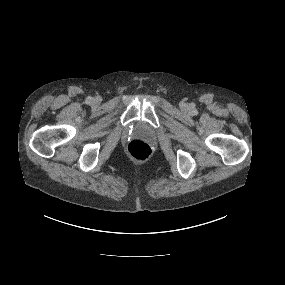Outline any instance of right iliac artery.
I'll list each match as a JSON object with an SVG mask.
<instances>
[{
	"label": "right iliac artery",
	"mask_w": 285,
	"mask_h": 285,
	"mask_svg": "<svg viewBox=\"0 0 285 285\" xmlns=\"http://www.w3.org/2000/svg\"><path fill=\"white\" fill-rule=\"evenodd\" d=\"M91 102H92V97H90V96L87 97V98H86V103H87V104H90Z\"/></svg>",
	"instance_id": "obj_1"
}]
</instances>
